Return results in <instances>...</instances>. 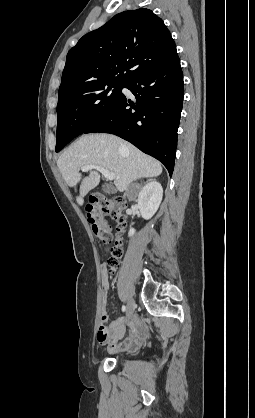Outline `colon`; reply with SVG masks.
<instances>
[{
    "mask_svg": "<svg viewBox=\"0 0 255 418\" xmlns=\"http://www.w3.org/2000/svg\"><path fill=\"white\" fill-rule=\"evenodd\" d=\"M126 201L122 197L107 199L102 196L91 198V204L87 207L88 221L92 230L103 247L110 253L107 264L110 272H114L119 265V259L123 254L121 243L116 240L113 242L112 227L106 221V216H112L118 222V232L122 230L125 216L123 210Z\"/></svg>",
    "mask_w": 255,
    "mask_h": 418,
    "instance_id": "5ec220e1",
    "label": "colon"
}]
</instances>
